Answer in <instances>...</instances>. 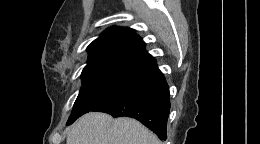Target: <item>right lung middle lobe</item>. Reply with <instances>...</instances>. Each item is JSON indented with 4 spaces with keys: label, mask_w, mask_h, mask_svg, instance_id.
Instances as JSON below:
<instances>
[{
    "label": "right lung middle lobe",
    "mask_w": 260,
    "mask_h": 144,
    "mask_svg": "<svg viewBox=\"0 0 260 144\" xmlns=\"http://www.w3.org/2000/svg\"><path fill=\"white\" fill-rule=\"evenodd\" d=\"M136 73L131 70L101 67L84 69L81 74L83 86L67 124L106 101L123 88Z\"/></svg>",
    "instance_id": "1"
}]
</instances>
